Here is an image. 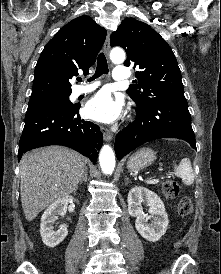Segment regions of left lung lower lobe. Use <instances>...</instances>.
<instances>
[{
    "mask_svg": "<svg viewBox=\"0 0 221 274\" xmlns=\"http://www.w3.org/2000/svg\"><path fill=\"white\" fill-rule=\"evenodd\" d=\"M136 115L135 121L116 135L114 149L118 160L140 145L160 138L182 139L196 149L186 99L138 106Z\"/></svg>",
    "mask_w": 221,
    "mask_h": 274,
    "instance_id": "1",
    "label": "left lung lower lobe"
}]
</instances>
